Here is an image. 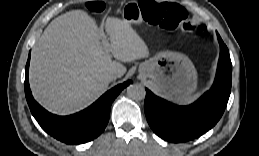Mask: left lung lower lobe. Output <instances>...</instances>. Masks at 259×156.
I'll use <instances>...</instances> for the list:
<instances>
[{"label":"left lung lower lobe","instance_id":"left-lung-lower-lobe-1","mask_svg":"<svg viewBox=\"0 0 259 156\" xmlns=\"http://www.w3.org/2000/svg\"><path fill=\"white\" fill-rule=\"evenodd\" d=\"M221 55L212 89L188 106H178L146 89L144 109L152 130L162 139L180 143L197 138L221 118L231 92L232 64L229 51L218 35Z\"/></svg>","mask_w":259,"mask_h":156}]
</instances>
